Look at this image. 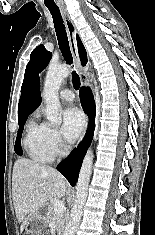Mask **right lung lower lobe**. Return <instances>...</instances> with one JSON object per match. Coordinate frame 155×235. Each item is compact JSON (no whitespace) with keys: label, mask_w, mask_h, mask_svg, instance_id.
<instances>
[{"label":"right lung lower lobe","mask_w":155,"mask_h":235,"mask_svg":"<svg viewBox=\"0 0 155 235\" xmlns=\"http://www.w3.org/2000/svg\"><path fill=\"white\" fill-rule=\"evenodd\" d=\"M80 97L82 99V107L89 116L88 129L83 141L79 144L77 149H74L70 156L60 164L62 166L61 168H59L60 165L57 167L72 186L76 185L83 158L91 144L95 129L96 109L91 90L89 88L82 87L80 90Z\"/></svg>","instance_id":"1"}]
</instances>
